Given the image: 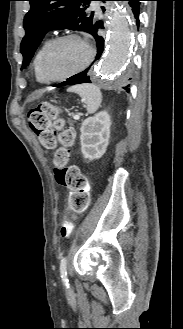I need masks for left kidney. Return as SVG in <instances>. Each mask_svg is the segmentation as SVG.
<instances>
[{"label":"left kidney","instance_id":"left-kidney-1","mask_svg":"<svg viewBox=\"0 0 183 329\" xmlns=\"http://www.w3.org/2000/svg\"><path fill=\"white\" fill-rule=\"evenodd\" d=\"M110 115L101 111L87 118L80 128L81 152L90 161L99 159L106 152L110 138Z\"/></svg>","mask_w":183,"mask_h":329}]
</instances>
